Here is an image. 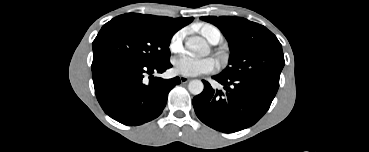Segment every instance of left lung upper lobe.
<instances>
[{"mask_svg": "<svg viewBox=\"0 0 369 152\" xmlns=\"http://www.w3.org/2000/svg\"><path fill=\"white\" fill-rule=\"evenodd\" d=\"M201 19L218 27L229 43V64L220 75L279 81L285 64L282 46L266 27L241 17L203 16Z\"/></svg>", "mask_w": 369, "mask_h": 152, "instance_id": "obj_1", "label": "left lung upper lobe"}]
</instances>
